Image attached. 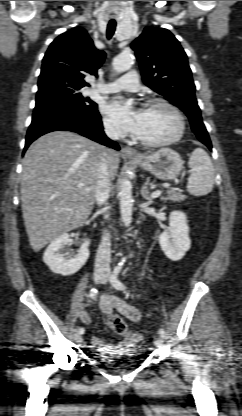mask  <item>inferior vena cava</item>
<instances>
[{
  "instance_id": "1",
  "label": "inferior vena cava",
  "mask_w": 242,
  "mask_h": 416,
  "mask_svg": "<svg viewBox=\"0 0 242 416\" xmlns=\"http://www.w3.org/2000/svg\"><path fill=\"white\" fill-rule=\"evenodd\" d=\"M106 135L112 140H118L119 131L109 122H104ZM111 191V182L109 175V150L105 149L98 165L97 182L95 187V200L98 206L105 204ZM111 236L104 231L101 243L98 247L95 259V270L110 272L111 261Z\"/></svg>"
}]
</instances>
